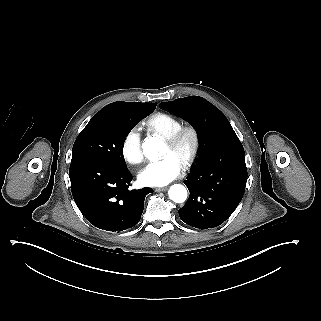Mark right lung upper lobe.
Segmentation results:
<instances>
[{
  "label": "right lung upper lobe",
  "mask_w": 321,
  "mask_h": 321,
  "mask_svg": "<svg viewBox=\"0 0 321 321\" xmlns=\"http://www.w3.org/2000/svg\"><path fill=\"white\" fill-rule=\"evenodd\" d=\"M110 105L120 108V110L127 115L135 114L147 108L153 110L156 108V103L114 102Z\"/></svg>",
  "instance_id": "right-lung-upper-lobe-1"
}]
</instances>
